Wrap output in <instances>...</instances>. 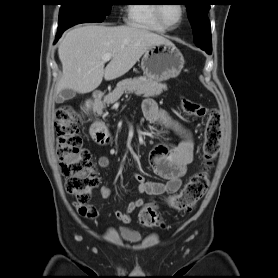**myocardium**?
<instances>
[{
    "mask_svg": "<svg viewBox=\"0 0 278 278\" xmlns=\"http://www.w3.org/2000/svg\"><path fill=\"white\" fill-rule=\"evenodd\" d=\"M162 7L163 5L161 4H157L155 6V16H156V19L158 20V22L165 28V29H168V30H173L175 28H177L184 20L185 16H186V6L184 4H180V7H181V17L178 21L177 24L175 25H170L169 23H167L162 15Z\"/></svg>",
    "mask_w": 278,
    "mask_h": 278,
    "instance_id": "1",
    "label": "myocardium"
}]
</instances>
